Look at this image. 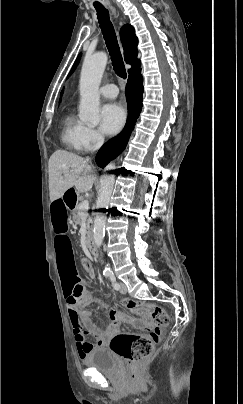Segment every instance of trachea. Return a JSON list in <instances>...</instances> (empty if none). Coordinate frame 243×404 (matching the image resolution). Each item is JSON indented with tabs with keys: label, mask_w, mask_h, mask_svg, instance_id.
I'll return each mask as SVG.
<instances>
[{
	"label": "trachea",
	"mask_w": 243,
	"mask_h": 404,
	"mask_svg": "<svg viewBox=\"0 0 243 404\" xmlns=\"http://www.w3.org/2000/svg\"><path fill=\"white\" fill-rule=\"evenodd\" d=\"M95 9L102 34L104 36L105 44L112 60L113 69L118 77L125 79L127 76L125 65L120 52L114 27L109 18V12L103 6H96Z\"/></svg>",
	"instance_id": "obj_1"
}]
</instances>
